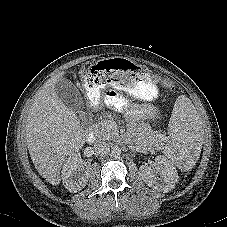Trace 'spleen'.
Listing matches in <instances>:
<instances>
[{
	"label": "spleen",
	"mask_w": 227,
	"mask_h": 227,
	"mask_svg": "<svg viewBox=\"0 0 227 227\" xmlns=\"http://www.w3.org/2000/svg\"><path fill=\"white\" fill-rule=\"evenodd\" d=\"M174 115L171 118L170 134L173 145L167 148V155L182 171H188L195 165L200 155L203 138L202 126L194 113V104L187 97H180L173 104Z\"/></svg>",
	"instance_id": "spleen-1"
}]
</instances>
